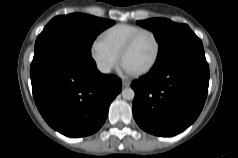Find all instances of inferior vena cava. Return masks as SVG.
<instances>
[{"label": "inferior vena cava", "instance_id": "obj_1", "mask_svg": "<svg viewBox=\"0 0 238 158\" xmlns=\"http://www.w3.org/2000/svg\"><path fill=\"white\" fill-rule=\"evenodd\" d=\"M97 68L102 73H109L111 71V66L106 63H98Z\"/></svg>", "mask_w": 238, "mask_h": 158}]
</instances>
